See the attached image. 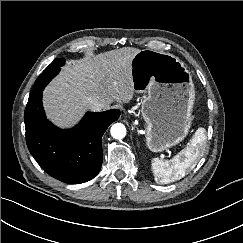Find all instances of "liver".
Instances as JSON below:
<instances>
[{"label":"liver","instance_id":"obj_1","mask_svg":"<svg viewBox=\"0 0 243 243\" xmlns=\"http://www.w3.org/2000/svg\"><path fill=\"white\" fill-rule=\"evenodd\" d=\"M139 51L123 47L73 60L44 90L47 117L57 126L70 127L89 109L86 97L97 95L107 106L130 102L135 91L131 62Z\"/></svg>","mask_w":243,"mask_h":243}]
</instances>
